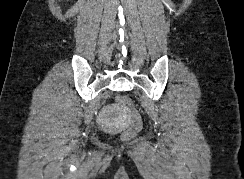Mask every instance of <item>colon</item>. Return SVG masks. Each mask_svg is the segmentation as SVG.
I'll use <instances>...</instances> for the list:
<instances>
[{
	"label": "colon",
	"mask_w": 244,
	"mask_h": 179,
	"mask_svg": "<svg viewBox=\"0 0 244 179\" xmlns=\"http://www.w3.org/2000/svg\"><path fill=\"white\" fill-rule=\"evenodd\" d=\"M114 101H119L124 107H131L129 110V115H131V121L133 125H129L126 129L127 133H122V138L125 142H130L131 138H137L141 130V125H144V120H142V112L135 110L134 103L130 99V96H114Z\"/></svg>",
	"instance_id": "obj_1"
}]
</instances>
